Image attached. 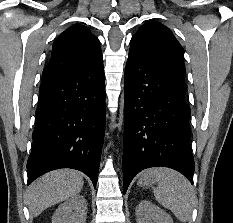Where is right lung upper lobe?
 Wrapping results in <instances>:
<instances>
[{
  "label": "right lung upper lobe",
  "mask_w": 233,
  "mask_h": 223,
  "mask_svg": "<svg viewBox=\"0 0 233 223\" xmlns=\"http://www.w3.org/2000/svg\"><path fill=\"white\" fill-rule=\"evenodd\" d=\"M103 65L100 42L84 25H74L55 41L42 81L85 72Z\"/></svg>",
  "instance_id": "right-lung-upper-lobe-1"
}]
</instances>
